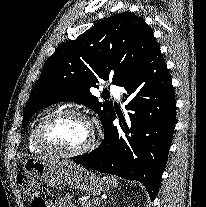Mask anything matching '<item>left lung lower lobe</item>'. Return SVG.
<instances>
[{
	"label": "left lung lower lobe",
	"instance_id": "obj_1",
	"mask_svg": "<svg viewBox=\"0 0 206 207\" xmlns=\"http://www.w3.org/2000/svg\"><path fill=\"white\" fill-rule=\"evenodd\" d=\"M128 112L114 111L105 125L102 144L76 157L75 163L94 170L137 180L154 201L162 179L176 120V100L159 45L154 46L139 66L120 85Z\"/></svg>",
	"mask_w": 206,
	"mask_h": 207
}]
</instances>
